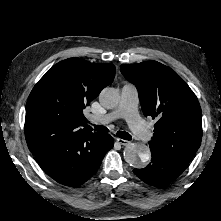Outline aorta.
<instances>
[{
  "label": "aorta",
  "instance_id": "obj_1",
  "mask_svg": "<svg viewBox=\"0 0 221 221\" xmlns=\"http://www.w3.org/2000/svg\"><path fill=\"white\" fill-rule=\"evenodd\" d=\"M120 100L119 92L114 88H104L99 94L100 104L107 108H115ZM125 161L136 168H141L150 159V149L144 144H128L123 152Z\"/></svg>",
  "mask_w": 221,
  "mask_h": 221
}]
</instances>
